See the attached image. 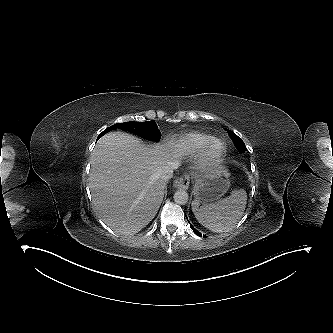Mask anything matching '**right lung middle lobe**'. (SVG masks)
<instances>
[{
	"mask_svg": "<svg viewBox=\"0 0 333 333\" xmlns=\"http://www.w3.org/2000/svg\"><path fill=\"white\" fill-rule=\"evenodd\" d=\"M114 129L126 130L139 135L142 138L154 141H159L161 138V133L155 121L118 123L108 127L105 131L109 132Z\"/></svg>",
	"mask_w": 333,
	"mask_h": 333,
	"instance_id": "obj_1",
	"label": "right lung middle lobe"
}]
</instances>
